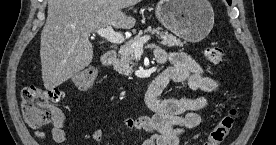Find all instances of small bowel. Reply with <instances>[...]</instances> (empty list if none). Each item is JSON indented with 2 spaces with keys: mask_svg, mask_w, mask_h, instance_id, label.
Segmentation results:
<instances>
[{
  "mask_svg": "<svg viewBox=\"0 0 276 145\" xmlns=\"http://www.w3.org/2000/svg\"><path fill=\"white\" fill-rule=\"evenodd\" d=\"M155 56L168 60L170 67L161 73V77L167 83H186L195 91L212 92L218 89V83L203 74L202 67L188 54L180 51L166 52L162 48L155 49ZM162 89L155 86V80L151 82L144 95L146 107L153 112L151 116L126 118L125 126L131 130L145 131L150 136L142 145H179L180 136L189 129L195 128L201 123L199 111L206 106L203 97H172L161 98ZM65 116L61 111H55L51 135L58 145L66 143ZM36 136L45 140L43 132L37 131ZM104 136L103 129H95L90 137L96 143L101 144Z\"/></svg>",
  "mask_w": 276,
  "mask_h": 145,
  "instance_id": "1",
  "label": "small bowel"
}]
</instances>
